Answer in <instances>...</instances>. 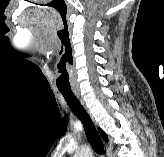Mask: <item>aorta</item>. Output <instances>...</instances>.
<instances>
[{"instance_id": "aorta-1", "label": "aorta", "mask_w": 164, "mask_h": 157, "mask_svg": "<svg viewBox=\"0 0 164 157\" xmlns=\"http://www.w3.org/2000/svg\"><path fill=\"white\" fill-rule=\"evenodd\" d=\"M93 153L89 146H82L81 149L75 154V157H92Z\"/></svg>"}]
</instances>
